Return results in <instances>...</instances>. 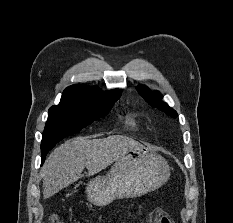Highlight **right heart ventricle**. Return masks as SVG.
<instances>
[{
	"label": "right heart ventricle",
	"instance_id": "1",
	"mask_svg": "<svg viewBox=\"0 0 233 223\" xmlns=\"http://www.w3.org/2000/svg\"><path fill=\"white\" fill-rule=\"evenodd\" d=\"M125 124H126V126H128L129 128H131L133 130L138 129V124H137L136 120L131 115H127L125 117Z\"/></svg>",
	"mask_w": 233,
	"mask_h": 223
}]
</instances>
